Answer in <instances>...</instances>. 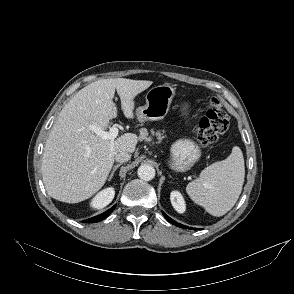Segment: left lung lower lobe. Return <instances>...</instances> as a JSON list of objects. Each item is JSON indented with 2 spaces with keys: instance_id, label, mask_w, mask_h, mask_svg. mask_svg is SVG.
<instances>
[{
  "instance_id": "obj_1",
  "label": "left lung lower lobe",
  "mask_w": 294,
  "mask_h": 294,
  "mask_svg": "<svg viewBox=\"0 0 294 294\" xmlns=\"http://www.w3.org/2000/svg\"><path fill=\"white\" fill-rule=\"evenodd\" d=\"M163 215H164V217H165L170 223H172V224H174V225H176V226H178V227H181V228H188V227L185 226V225H182V224H179V223L175 222V221L172 220L170 217H168L165 213H163ZM189 229H195V230H196V228H189Z\"/></svg>"
}]
</instances>
